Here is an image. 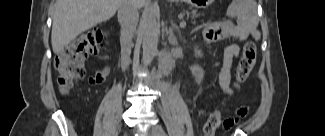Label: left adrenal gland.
<instances>
[{"mask_svg": "<svg viewBox=\"0 0 325 136\" xmlns=\"http://www.w3.org/2000/svg\"><path fill=\"white\" fill-rule=\"evenodd\" d=\"M174 29H178V27L172 22L169 31L167 32V35L169 43L173 45L177 43V38L174 34Z\"/></svg>", "mask_w": 325, "mask_h": 136, "instance_id": "left-adrenal-gland-1", "label": "left adrenal gland"}]
</instances>
